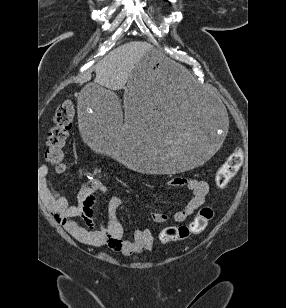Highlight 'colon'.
<instances>
[{"instance_id": "5ec220e1", "label": "colon", "mask_w": 286, "mask_h": 308, "mask_svg": "<svg viewBox=\"0 0 286 308\" xmlns=\"http://www.w3.org/2000/svg\"><path fill=\"white\" fill-rule=\"evenodd\" d=\"M75 116V106L70 99L64 100L57 108L54 122L49 130L45 157L57 171L63 170L64 147ZM243 163V152L235 149L222 164L216 174V185L220 189L228 186ZM214 210L211 206L202 207L197 216L188 225L170 226L161 230L159 241L163 244L186 239L200 234L212 219Z\"/></svg>"}]
</instances>
